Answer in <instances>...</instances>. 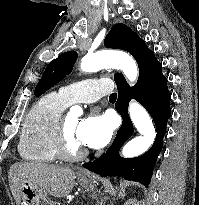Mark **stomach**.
I'll return each instance as SVG.
<instances>
[{
  "label": "stomach",
  "instance_id": "obj_1",
  "mask_svg": "<svg viewBox=\"0 0 199 205\" xmlns=\"http://www.w3.org/2000/svg\"><path fill=\"white\" fill-rule=\"evenodd\" d=\"M78 181L86 189L91 188L94 184V179L83 176L79 177ZM21 197L24 205H54L42 189L29 182L22 184Z\"/></svg>",
  "mask_w": 199,
  "mask_h": 205
}]
</instances>
